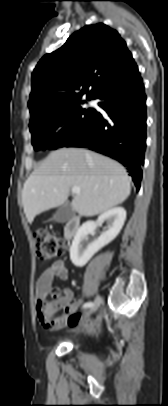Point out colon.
<instances>
[{
  "mask_svg": "<svg viewBox=\"0 0 168 406\" xmlns=\"http://www.w3.org/2000/svg\"><path fill=\"white\" fill-rule=\"evenodd\" d=\"M33 238L36 246L37 258L41 261H49L61 256L66 250V245L62 239L49 231H36ZM52 293L57 295L58 290L54 289ZM55 309L53 302H38L39 316L45 324H52L56 321V318L54 317ZM76 319V316H71L68 320L69 324L74 323Z\"/></svg>",
  "mask_w": 168,
  "mask_h": 406,
  "instance_id": "5ec220e1",
  "label": "colon"
}]
</instances>
